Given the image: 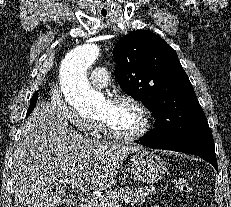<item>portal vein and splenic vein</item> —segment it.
<instances>
[{
	"label": "portal vein and splenic vein",
	"mask_w": 231,
	"mask_h": 207,
	"mask_svg": "<svg viewBox=\"0 0 231 207\" xmlns=\"http://www.w3.org/2000/svg\"><path fill=\"white\" fill-rule=\"evenodd\" d=\"M63 182H70L72 187H75L77 188L78 190H80L82 193H85L87 194L88 198H93V199H99L101 200L102 199V196L99 195V193L97 192H90L87 188H85L83 186V183L82 182H78V181H70L68 179H63L62 180ZM108 206L109 207H121L120 204L118 203H108Z\"/></svg>",
	"instance_id": "18ae733b"
}]
</instances>
